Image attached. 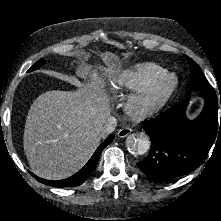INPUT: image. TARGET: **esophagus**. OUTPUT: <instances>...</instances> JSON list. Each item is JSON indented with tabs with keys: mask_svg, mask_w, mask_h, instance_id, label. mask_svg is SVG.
<instances>
[{
	"mask_svg": "<svg viewBox=\"0 0 221 221\" xmlns=\"http://www.w3.org/2000/svg\"><path fill=\"white\" fill-rule=\"evenodd\" d=\"M131 132H132L131 128L124 127L118 131L117 135L120 138H124V137L128 136Z\"/></svg>",
	"mask_w": 221,
	"mask_h": 221,
	"instance_id": "34e87169",
	"label": "esophagus"
}]
</instances>
